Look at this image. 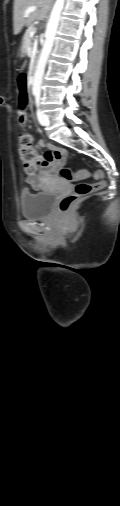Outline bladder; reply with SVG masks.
Segmentation results:
<instances>
[{"mask_svg": "<svg viewBox=\"0 0 120 506\" xmlns=\"http://www.w3.org/2000/svg\"><path fill=\"white\" fill-rule=\"evenodd\" d=\"M55 198L56 194L52 191H24L19 197L21 213L29 219L46 218L50 215Z\"/></svg>", "mask_w": 120, "mask_h": 506, "instance_id": "1", "label": "bladder"}]
</instances>
